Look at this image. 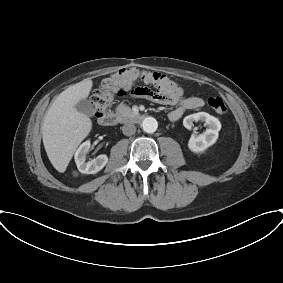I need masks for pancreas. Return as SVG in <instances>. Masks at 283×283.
I'll return each instance as SVG.
<instances>
[{
    "instance_id": "pancreas-1",
    "label": "pancreas",
    "mask_w": 283,
    "mask_h": 283,
    "mask_svg": "<svg viewBox=\"0 0 283 283\" xmlns=\"http://www.w3.org/2000/svg\"><path fill=\"white\" fill-rule=\"evenodd\" d=\"M116 113L120 116V117H129L133 114L131 108L123 103L119 104L116 107Z\"/></svg>"
}]
</instances>
